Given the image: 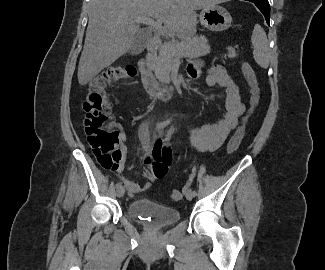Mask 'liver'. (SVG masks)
Wrapping results in <instances>:
<instances>
[{
    "label": "liver",
    "mask_w": 325,
    "mask_h": 270,
    "mask_svg": "<svg viewBox=\"0 0 325 270\" xmlns=\"http://www.w3.org/2000/svg\"><path fill=\"white\" fill-rule=\"evenodd\" d=\"M215 0H91L78 82L89 83L131 47L141 30L137 17H153L180 39L196 33L195 9L214 6Z\"/></svg>",
    "instance_id": "liver-1"
}]
</instances>
